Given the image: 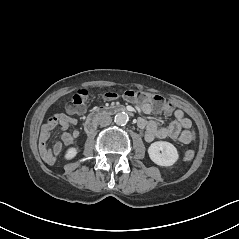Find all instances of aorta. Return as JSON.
Wrapping results in <instances>:
<instances>
[{
	"mask_svg": "<svg viewBox=\"0 0 239 239\" xmlns=\"http://www.w3.org/2000/svg\"><path fill=\"white\" fill-rule=\"evenodd\" d=\"M128 120H129L128 114L125 112H119L114 117V122L117 125H121V126L126 125Z\"/></svg>",
	"mask_w": 239,
	"mask_h": 239,
	"instance_id": "obj_1",
	"label": "aorta"
}]
</instances>
